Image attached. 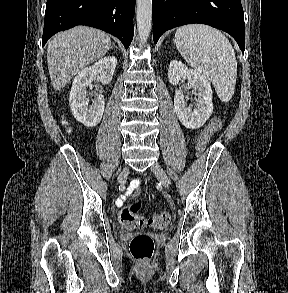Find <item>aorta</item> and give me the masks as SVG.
Returning <instances> with one entry per match:
<instances>
[{
	"instance_id": "1",
	"label": "aorta",
	"mask_w": 288,
	"mask_h": 293,
	"mask_svg": "<svg viewBox=\"0 0 288 293\" xmlns=\"http://www.w3.org/2000/svg\"><path fill=\"white\" fill-rule=\"evenodd\" d=\"M136 21L140 45H144L151 31L152 0H137Z\"/></svg>"
}]
</instances>
